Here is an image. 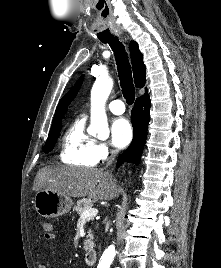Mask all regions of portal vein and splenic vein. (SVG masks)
Instances as JSON below:
<instances>
[{
    "label": "portal vein and splenic vein",
    "mask_w": 221,
    "mask_h": 268,
    "mask_svg": "<svg viewBox=\"0 0 221 268\" xmlns=\"http://www.w3.org/2000/svg\"><path fill=\"white\" fill-rule=\"evenodd\" d=\"M97 213H98V209L89 208V209L84 210L80 217L82 219L90 220L93 217H95L97 215Z\"/></svg>",
    "instance_id": "18ae733b"
}]
</instances>
